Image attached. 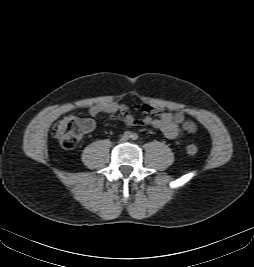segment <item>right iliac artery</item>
Listing matches in <instances>:
<instances>
[{
	"label": "right iliac artery",
	"instance_id": "1",
	"mask_svg": "<svg viewBox=\"0 0 254 267\" xmlns=\"http://www.w3.org/2000/svg\"><path fill=\"white\" fill-rule=\"evenodd\" d=\"M124 137H125V138H130V137H132V133H131L130 131H126V132L124 133Z\"/></svg>",
	"mask_w": 254,
	"mask_h": 267
}]
</instances>
